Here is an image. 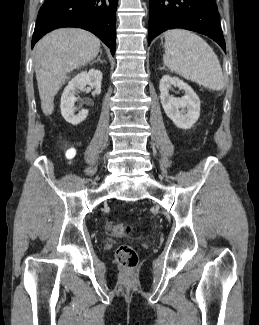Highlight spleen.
<instances>
[{"instance_id":"spleen-1","label":"spleen","mask_w":259,"mask_h":325,"mask_svg":"<svg viewBox=\"0 0 259 325\" xmlns=\"http://www.w3.org/2000/svg\"><path fill=\"white\" fill-rule=\"evenodd\" d=\"M163 62L168 69L211 90L224 87L217 55L200 36L184 29L165 33Z\"/></svg>"}]
</instances>
